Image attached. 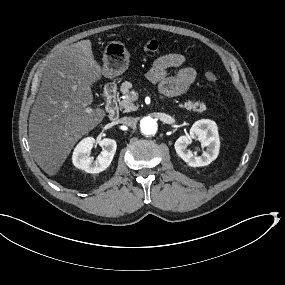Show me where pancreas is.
<instances>
[{
	"label": "pancreas",
	"instance_id": "cf45deb5",
	"mask_svg": "<svg viewBox=\"0 0 285 285\" xmlns=\"http://www.w3.org/2000/svg\"><path fill=\"white\" fill-rule=\"evenodd\" d=\"M136 87V84L134 82H128L125 81L122 83L119 87L120 92L127 94L126 98L121 102V106L125 108L127 111L131 112L135 110V106L132 104L131 95L133 94V90ZM179 108L186 109L190 112L194 111L196 113H203L205 110H207V106L203 101H192V100H186L185 103H179Z\"/></svg>",
	"mask_w": 285,
	"mask_h": 285
}]
</instances>
